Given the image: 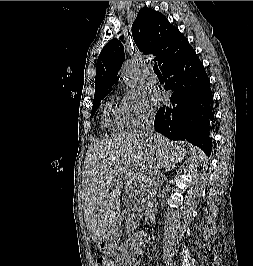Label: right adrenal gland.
Listing matches in <instances>:
<instances>
[{"label":"right adrenal gland","mask_w":253,"mask_h":266,"mask_svg":"<svg viewBox=\"0 0 253 266\" xmlns=\"http://www.w3.org/2000/svg\"><path fill=\"white\" fill-rule=\"evenodd\" d=\"M166 180H167V178H166V177H163L162 180L157 181V187H156V189H157L158 187H159V189H160V186H162L163 182L166 181Z\"/></svg>","instance_id":"right-adrenal-gland-1"}]
</instances>
